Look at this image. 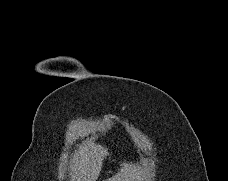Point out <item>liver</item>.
Segmentation results:
<instances>
[{
    "mask_svg": "<svg viewBox=\"0 0 228 181\" xmlns=\"http://www.w3.org/2000/svg\"><path fill=\"white\" fill-rule=\"evenodd\" d=\"M75 155L71 181H97L101 173L103 159L109 155L107 149H104L102 145L92 143V141H83ZM119 167L117 173L106 181H141L143 169L140 171V167H136L135 163L124 161Z\"/></svg>",
    "mask_w": 228,
    "mask_h": 181,
    "instance_id": "6515ba94",
    "label": "liver"
}]
</instances>
